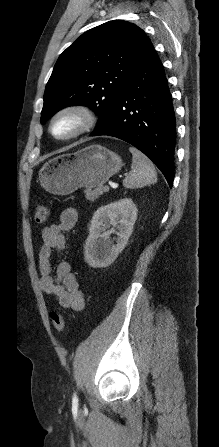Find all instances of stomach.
<instances>
[{"instance_id":"1","label":"stomach","mask_w":219,"mask_h":447,"mask_svg":"<svg viewBox=\"0 0 219 447\" xmlns=\"http://www.w3.org/2000/svg\"><path fill=\"white\" fill-rule=\"evenodd\" d=\"M122 167L121 157L93 144L77 152L62 154L47 161L39 170L41 186L55 195H68L78 188L102 186Z\"/></svg>"}]
</instances>
